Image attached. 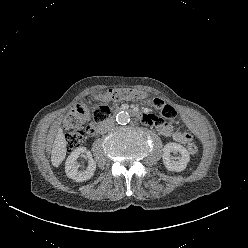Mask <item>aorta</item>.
<instances>
[{
  "label": "aorta",
  "mask_w": 248,
  "mask_h": 248,
  "mask_svg": "<svg viewBox=\"0 0 248 248\" xmlns=\"http://www.w3.org/2000/svg\"><path fill=\"white\" fill-rule=\"evenodd\" d=\"M116 121L118 124L125 125L130 121V116L127 112L121 111L116 115Z\"/></svg>",
  "instance_id": "obj_1"
}]
</instances>
